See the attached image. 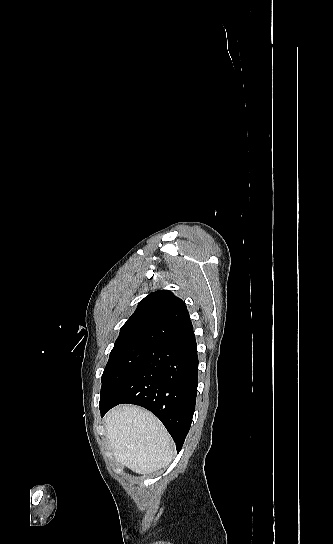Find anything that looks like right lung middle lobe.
<instances>
[{"label": "right lung middle lobe", "mask_w": 333, "mask_h": 544, "mask_svg": "<svg viewBox=\"0 0 333 544\" xmlns=\"http://www.w3.org/2000/svg\"><path fill=\"white\" fill-rule=\"evenodd\" d=\"M152 346H131L113 349L102 375L100 407L129 380L140 364L146 360Z\"/></svg>", "instance_id": "1"}]
</instances>
